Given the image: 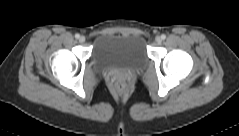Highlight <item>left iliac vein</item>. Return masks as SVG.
I'll return each instance as SVG.
<instances>
[{"instance_id": "left-iliac-vein-1", "label": "left iliac vein", "mask_w": 239, "mask_h": 136, "mask_svg": "<svg viewBox=\"0 0 239 136\" xmlns=\"http://www.w3.org/2000/svg\"><path fill=\"white\" fill-rule=\"evenodd\" d=\"M155 42H156L157 44H161V42H162L161 37L157 36V37L155 38Z\"/></svg>"}]
</instances>
